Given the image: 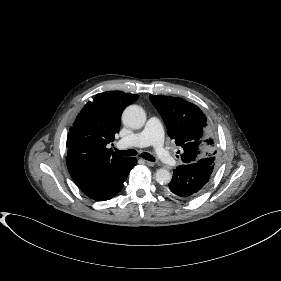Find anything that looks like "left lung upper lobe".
<instances>
[{
  "label": "left lung upper lobe",
  "mask_w": 281,
  "mask_h": 281,
  "mask_svg": "<svg viewBox=\"0 0 281 281\" xmlns=\"http://www.w3.org/2000/svg\"><path fill=\"white\" fill-rule=\"evenodd\" d=\"M167 126L168 135L181 147V159L191 164L215 158L216 150L207 119L196 105L170 96H149Z\"/></svg>",
  "instance_id": "left-lung-upper-lobe-1"
}]
</instances>
